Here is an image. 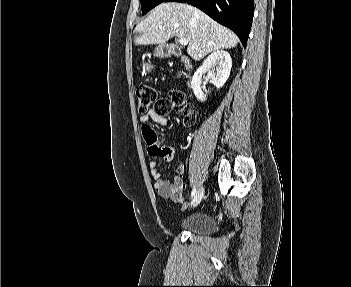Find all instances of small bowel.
<instances>
[{"instance_id": "obj_1", "label": "small bowel", "mask_w": 351, "mask_h": 287, "mask_svg": "<svg viewBox=\"0 0 351 287\" xmlns=\"http://www.w3.org/2000/svg\"><path fill=\"white\" fill-rule=\"evenodd\" d=\"M155 123L161 126H167L168 120L158 115L154 110H149L140 115L139 121L141 123L142 138H144V145H146L147 156H152L149 162V168L152 178L155 181V188L162 197L171 198L175 202L183 201V192L186 189L184 180L185 165L178 164L174 171L173 181H167L162 178L161 172L158 168L157 159L161 158L166 162H170L174 158V151L169 146H160L159 132H156Z\"/></svg>"}]
</instances>
